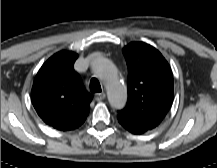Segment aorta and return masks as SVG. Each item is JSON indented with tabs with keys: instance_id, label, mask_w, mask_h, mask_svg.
<instances>
[{
	"instance_id": "762f6f07",
	"label": "aorta",
	"mask_w": 217,
	"mask_h": 168,
	"mask_svg": "<svg viewBox=\"0 0 217 168\" xmlns=\"http://www.w3.org/2000/svg\"><path fill=\"white\" fill-rule=\"evenodd\" d=\"M92 68L106 87L110 105L115 109H122L127 102V89L114 64L104 56H96L92 61Z\"/></svg>"
}]
</instances>
